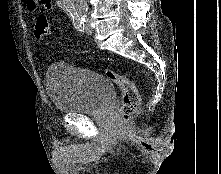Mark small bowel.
<instances>
[{"mask_svg":"<svg viewBox=\"0 0 221 174\" xmlns=\"http://www.w3.org/2000/svg\"><path fill=\"white\" fill-rule=\"evenodd\" d=\"M39 4L46 11H50L52 9V1L51 0H25L26 9L29 12H35L37 10Z\"/></svg>","mask_w":221,"mask_h":174,"instance_id":"obj_1","label":"small bowel"}]
</instances>
